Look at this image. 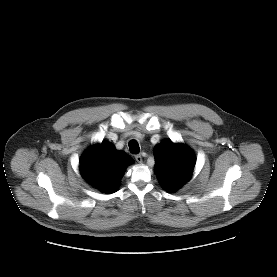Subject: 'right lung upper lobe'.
I'll return each instance as SVG.
<instances>
[{
	"label": "right lung upper lobe",
	"mask_w": 277,
	"mask_h": 277,
	"mask_svg": "<svg viewBox=\"0 0 277 277\" xmlns=\"http://www.w3.org/2000/svg\"><path fill=\"white\" fill-rule=\"evenodd\" d=\"M132 158L117 151L112 144L102 142L90 147L80 159V171L84 179L101 192L114 193L126 167Z\"/></svg>",
	"instance_id": "right-lung-upper-lobe-1"
}]
</instances>
